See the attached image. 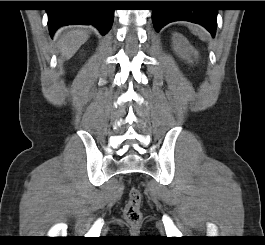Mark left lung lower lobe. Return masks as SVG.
Returning <instances> with one entry per match:
<instances>
[{"mask_svg": "<svg viewBox=\"0 0 265 245\" xmlns=\"http://www.w3.org/2000/svg\"><path fill=\"white\" fill-rule=\"evenodd\" d=\"M165 7L152 10V20L158 32L166 24L177 21H189L204 26L212 36L215 35L217 10L211 8H194L200 1H166Z\"/></svg>", "mask_w": 265, "mask_h": 245, "instance_id": "left-lung-lower-lobe-1", "label": "left lung lower lobe"}]
</instances>
